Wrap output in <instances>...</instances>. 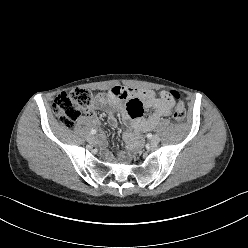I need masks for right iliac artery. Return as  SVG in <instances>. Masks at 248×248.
<instances>
[{"label": "right iliac artery", "instance_id": "obj_1", "mask_svg": "<svg viewBox=\"0 0 248 248\" xmlns=\"http://www.w3.org/2000/svg\"><path fill=\"white\" fill-rule=\"evenodd\" d=\"M91 134H96V130L95 129H92L91 130Z\"/></svg>", "mask_w": 248, "mask_h": 248}]
</instances>
